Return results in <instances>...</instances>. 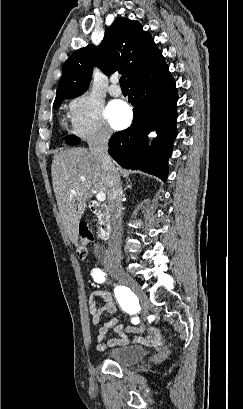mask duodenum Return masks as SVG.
<instances>
[{"label":"duodenum","instance_id":"410a0bca","mask_svg":"<svg viewBox=\"0 0 243 409\" xmlns=\"http://www.w3.org/2000/svg\"><path fill=\"white\" fill-rule=\"evenodd\" d=\"M90 207L99 219L98 234L102 238H108L111 233V212L107 204L91 202Z\"/></svg>","mask_w":243,"mask_h":409}]
</instances>
